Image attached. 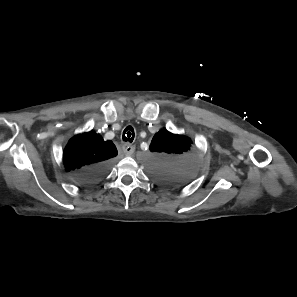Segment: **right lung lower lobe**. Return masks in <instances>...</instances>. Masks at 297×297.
Listing matches in <instances>:
<instances>
[{
    "label": "right lung lower lobe",
    "instance_id": "right-lung-lower-lobe-1",
    "mask_svg": "<svg viewBox=\"0 0 297 297\" xmlns=\"http://www.w3.org/2000/svg\"><path fill=\"white\" fill-rule=\"evenodd\" d=\"M110 168L109 162L99 163L90 167H87L75 174H73V180L79 185H90L99 181L105 176Z\"/></svg>",
    "mask_w": 297,
    "mask_h": 297
}]
</instances>
